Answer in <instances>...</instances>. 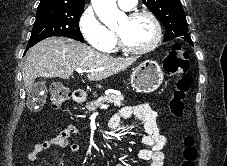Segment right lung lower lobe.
I'll list each match as a JSON object with an SVG mask.
<instances>
[{
    "mask_svg": "<svg viewBox=\"0 0 227 166\" xmlns=\"http://www.w3.org/2000/svg\"><path fill=\"white\" fill-rule=\"evenodd\" d=\"M30 47H32V45H28L26 51H27Z\"/></svg>",
    "mask_w": 227,
    "mask_h": 166,
    "instance_id": "1",
    "label": "right lung lower lobe"
}]
</instances>
